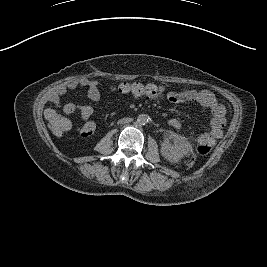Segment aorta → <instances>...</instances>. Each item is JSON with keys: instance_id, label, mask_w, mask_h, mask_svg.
<instances>
[{"instance_id": "762f6f07", "label": "aorta", "mask_w": 267, "mask_h": 267, "mask_svg": "<svg viewBox=\"0 0 267 267\" xmlns=\"http://www.w3.org/2000/svg\"><path fill=\"white\" fill-rule=\"evenodd\" d=\"M148 119L149 117L146 114H141L137 117V123L139 125H145L146 123H148Z\"/></svg>"}]
</instances>
